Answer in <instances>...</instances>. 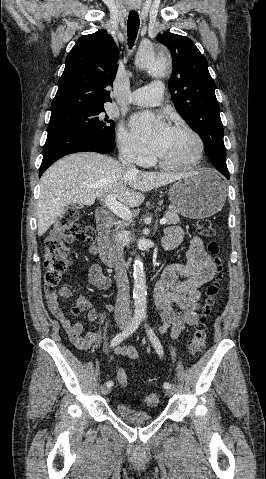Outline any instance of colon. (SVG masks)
<instances>
[{
	"label": "colon",
	"mask_w": 266,
	"mask_h": 479,
	"mask_svg": "<svg viewBox=\"0 0 266 479\" xmlns=\"http://www.w3.org/2000/svg\"><path fill=\"white\" fill-rule=\"evenodd\" d=\"M79 213L75 208H67L58 219L48 236L44 241V285L48 291H53L58 286L62 275L66 272L70 265V258L65 237L72 236L80 242H91L94 239L95 232L90 226H82L78 222ZM197 231L205 237H212L215 233L211 222L207 219H201L197 223ZM209 251L218 255L220 245L217 241H210L208 244ZM218 265L219 276L208 288V297L203 308V316L196 326V329L188 342V352L191 356L200 354L206 346V321L211 312V308L220 291V278L222 266L220 259H216ZM117 378L122 386L128 383V376L125 369L121 368L117 372ZM159 397L155 393L146 395L145 403L149 406H155Z\"/></svg>",
	"instance_id": "5ec220e1"
}]
</instances>
